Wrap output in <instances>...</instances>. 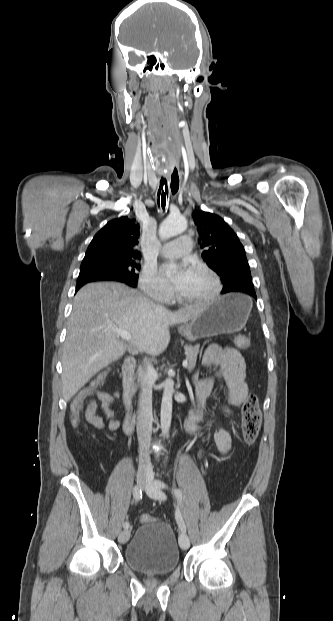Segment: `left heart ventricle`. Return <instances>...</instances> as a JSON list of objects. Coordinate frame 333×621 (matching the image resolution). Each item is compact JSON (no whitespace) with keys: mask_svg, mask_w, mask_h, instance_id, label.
<instances>
[{"mask_svg":"<svg viewBox=\"0 0 333 621\" xmlns=\"http://www.w3.org/2000/svg\"><path fill=\"white\" fill-rule=\"evenodd\" d=\"M213 288V282L206 274L192 270L189 280L178 292L183 297L198 298L209 295Z\"/></svg>","mask_w":333,"mask_h":621,"instance_id":"left-heart-ventricle-1","label":"left heart ventricle"}]
</instances>
